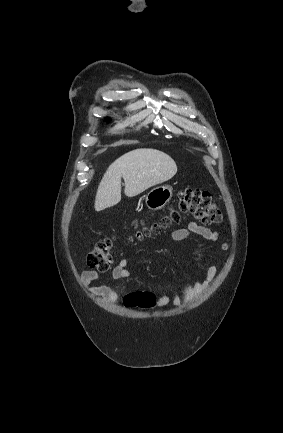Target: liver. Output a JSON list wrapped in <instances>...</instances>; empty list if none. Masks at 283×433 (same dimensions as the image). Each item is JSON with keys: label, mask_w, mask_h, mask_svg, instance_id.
<instances>
[{"label": "liver", "mask_w": 283, "mask_h": 433, "mask_svg": "<svg viewBox=\"0 0 283 433\" xmlns=\"http://www.w3.org/2000/svg\"><path fill=\"white\" fill-rule=\"evenodd\" d=\"M177 172L169 154L156 148H135L116 158L102 176L95 196V210L114 206L121 200V178L126 196H136L149 186L165 182Z\"/></svg>", "instance_id": "6515ba94"}]
</instances>
